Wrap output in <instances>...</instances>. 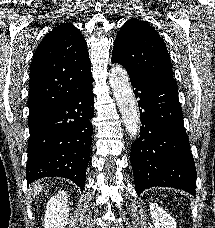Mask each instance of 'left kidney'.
Returning a JSON list of instances; mask_svg holds the SVG:
<instances>
[{
	"label": "left kidney",
	"mask_w": 215,
	"mask_h": 228,
	"mask_svg": "<svg viewBox=\"0 0 215 228\" xmlns=\"http://www.w3.org/2000/svg\"><path fill=\"white\" fill-rule=\"evenodd\" d=\"M149 210L155 228H177L174 218L170 214H167L159 204H153L151 202Z\"/></svg>",
	"instance_id": "obj_1"
}]
</instances>
